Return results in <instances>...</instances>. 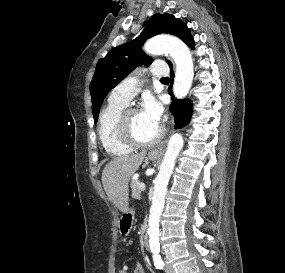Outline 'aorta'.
Wrapping results in <instances>:
<instances>
[{
  "label": "aorta",
  "mask_w": 285,
  "mask_h": 273,
  "mask_svg": "<svg viewBox=\"0 0 285 273\" xmlns=\"http://www.w3.org/2000/svg\"><path fill=\"white\" fill-rule=\"evenodd\" d=\"M144 50L150 55L168 53L172 57L176 64L173 93L178 99L184 98L191 88L194 76L193 59L188 46L176 37L156 36L145 43ZM183 144L184 140L181 134L175 133L171 136L160 170L154 181V194L148 226L149 246L154 255H157L160 251L159 221L164 206L167 185Z\"/></svg>",
  "instance_id": "762f6f07"
}]
</instances>
